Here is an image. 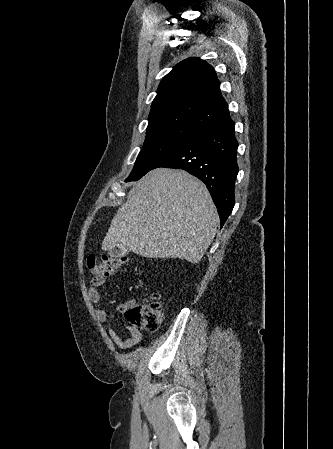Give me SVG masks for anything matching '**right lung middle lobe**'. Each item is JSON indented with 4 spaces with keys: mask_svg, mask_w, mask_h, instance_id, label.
I'll return each instance as SVG.
<instances>
[{
    "mask_svg": "<svg viewBox=\"0 0 333 449\" xmlns=\"http://www.w3.org/2000/svg\"><path fill=\"white\" fill-rule=\"evenodd\" d=\"M200 130L202 128L190 124H169L147 132L143 148L127 181L140 179Z\"/></svg>",
    "mask_w": 333,
    "mask_h": 449,
    "instance_id": "dd1d6c3e",
    "label": "right lung middle lobe"
}]
</instances>
